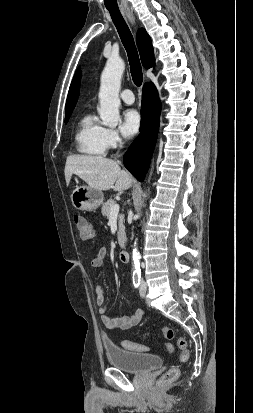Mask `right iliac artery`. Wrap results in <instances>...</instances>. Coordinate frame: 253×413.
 Returning a JSON list of instances; mask_svg holds the SVG:
<instances>
[{"label": "right iliac artery", "instance_id": "82829eb1", "mask_svg": "<svg viewBox=\"0 0 253 413\" xmlns=\"http://www.w3.org/2000/svg\"><path fill=\"white\" fill-rule=\"evenodd\" d=\"M141 282V274L133 273V284L135 288H138Z\"/></svg>", "mask_w": 253, "mask_h": 413}]
</instances>
